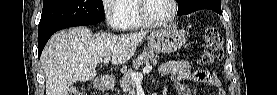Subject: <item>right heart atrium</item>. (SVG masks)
Segmentation results:
<instances>
[{"label": "right heart atrium", "mask_w": 277, "mask_h": 95, "mask_svg": "<svg viewBox=\"0 0 277 95\" xmlns=\"http://www.w3.org/2000/svg\"><path fill=\"white\" fill-rule=\"evenodd\" d=\"M122 1L124 0H103L102 10L108 26L112 30H120L123 27V12L118 9Z\"/></svg>", "instance_id": "right-heart-atrium-1"}]
</instances>
